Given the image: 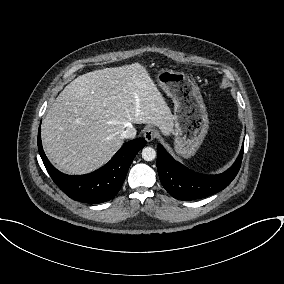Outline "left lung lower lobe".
Here are the masks:
<instances>
[{"mask_svg": "<svg viewBox=\"0 0 284 284\" xmlns=\"http://www.w3.org/2000/svg\"><path fill=\"white\" fill-rule=\"evenodd\" d=\"M244 144L234 164L225 172L217 175H203L193 172L175 161L167 151L158 144L157 170L162 185L174 198L183 201L200 199L215 194L226 188L237 175Z\"/></svg>", "mask_w": 284, "mask_h": 284, "instance_id": "0a47b994", "label": "left lung lower lobe"}]
</instances>
